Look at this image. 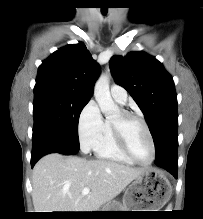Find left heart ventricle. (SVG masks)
Returning a JSON list of instances; mask_svg holds the SVG:
<instances>
[{
	"instance_id": "1",
	"label": "left heart ventricle",
	"mask_w": 203,
	"mask_h": 219,
	"mask_svg": "<svg viewBox=\"0 0 203 219\" xmlns=\"http://www.w3.org/2000/svg\"><path fill=\"white\" fill-rule=\"evenodd\" d=\"M119 113L114 117L117 119ZM126 135L132 154L139 161L148 162L152 157V149L147 133L138 120H131L126 126Z\"/></svg>"
}]
</instances>
